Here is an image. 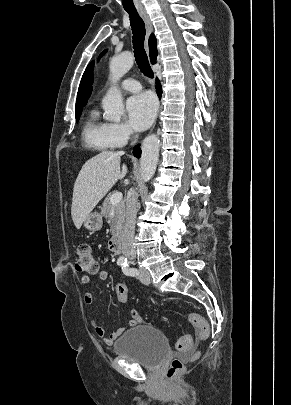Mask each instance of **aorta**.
I'll use <instances>...</instances> for the list:
<instances>
[{"instance_id": "aorta-1", "label": "aorta", "mask_w": 291, "mask_h": 405, "mask_svg": "<svg viewBox=\"0 0 291 405\" xmlns=\"http://www.w3.org/2000/svg\"><path fill=\"white\" fill-rule=\"evenodd\" d=\"M133 61L134 56L129 51L114 56L110 61V76L113 86L102 100L105 119L108 121L119 122L124 115L123 98L115 84L131 69ZM159 147L160 140L155 134L149 135L143 141L140 166L141 178L144 182L150 181L155 174L159 158Z\"/></svg>"}]
</instances>
